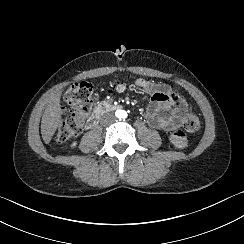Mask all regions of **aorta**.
<instances>
[{
    "instance_id": "obj_1",
    "label": "aorta",
    "mask_w": 244,
    "mask_h": 244,
    "mask_svg": "<svg viewBox=\"0 0 244 244\" xmlns=\"http://www.w3.org/2000/svg\"><path fill=\"white\" fill-rule=\"evenodd\" d=\"M124 113H126V111H124V110H117L116 111V115H117V117H119V118H123V114ZM119 114V115H118Z\"/></svg>"
}]
</instances>
